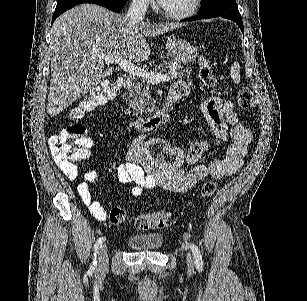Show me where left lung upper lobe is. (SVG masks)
Masks as SVG:
<instances>
[{
    "label": "left lung upper lobe",
    "instance_id": "left-lung-upper-lobe-1",
    "mask_svg": "<svg viewBox=\"0 0 307 301\" xmlns=\"http://www.w3.org/2000/svg\"><path fill=\"white\" fill-rule=\"evenodd\" d=\"M199 14L241 16L236 5V0H202Z\"/></svg>",
    "mask_w": 307,
    "mask_h": 301
}]
</instances>
